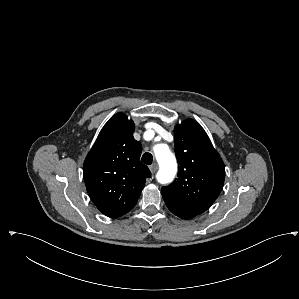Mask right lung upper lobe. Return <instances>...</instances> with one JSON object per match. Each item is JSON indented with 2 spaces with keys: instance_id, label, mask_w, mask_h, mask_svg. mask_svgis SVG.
Returning <instances> with one entry per match:
<instances>
[{
  "instance_id": "obj_1",
  "label": "right lung upper lobe",
  "mask_w": 299,
  "mask_h": 299,
  "mask_svg": "<svg viewBox=\"0 0 299 299\" xmlns=\"http://www.w3.org/2000/svg\"><path fill=\"white\" fill-rule=\"evenodd\" d=\"M134 129L125 114H115L100 131L84 162L87 192L97 208L111 218L135 206L146 178L151 176L140 162L142 146L133 137Z\"/></svg>"
}]
</instances>
